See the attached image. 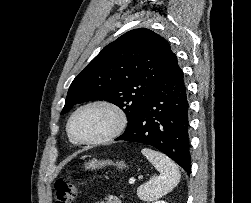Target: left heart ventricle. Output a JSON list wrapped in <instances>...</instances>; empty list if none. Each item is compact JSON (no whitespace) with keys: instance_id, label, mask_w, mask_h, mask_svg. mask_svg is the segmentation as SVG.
Returning a JSON list of instances; mask_svg holds the SVG:
<instances>
[{"instance_id":"obj_1","label":"left heart ventricle","mask_w":251,"mask_h":203,"mask_svg":"<svg viewBox=\"0 0 251 203\" xmlns=\"http://www.w3.org/2000/svg\"><path fill=\"white\" fill-rule=\"evenodd\" d=\"M113 114L100 107H93L78 113L72 124L76 137L87 140L100 137L107 133L114 125Z\"/></svg>"}]
</instances>
